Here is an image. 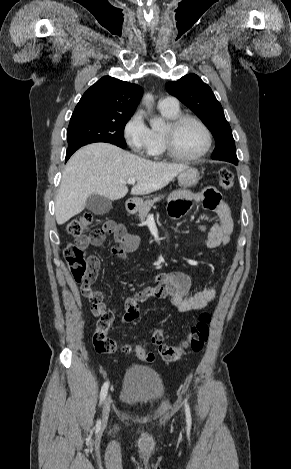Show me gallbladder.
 <instances>
[{
	"label": "gallbladder",
	"instance_id": "obj_1",
	"mask_svg": "<svg viewBox=\"0 0 291 469\" xmlns=\"http://www.w3.org/2000/svg\"><path fill=\"white\" fill-rule=\"evenodd\" d=\"M85 208L94 214L103 215L112 209V201L102 195L93 194L87 198Z\"/></svg>",
	"mask_w": 291,
	"mask_h": 469
}]
</instances>
